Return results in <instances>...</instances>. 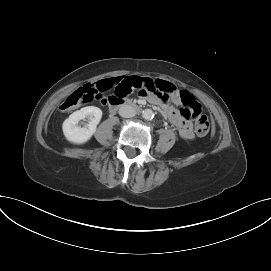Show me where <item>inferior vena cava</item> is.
Listing matches in <instances>:
<instances>
[{
    "mask_svg": "<svg viewBox=\"0 0 271 271\" xmlns=\"http://www.w3.org/2000/svg\"><path fill=\"white\" fill-rule=\"evenodd\" d=\"M135 114L136 111L131 105H122L119 109V115L125 118L134 117Z\"/></svg>",
    "mask_w": 271,
    "mask_h": 271,
    "instance_id": "602c4592",
    "label": "inferior vena cava"
}]
</instances>
